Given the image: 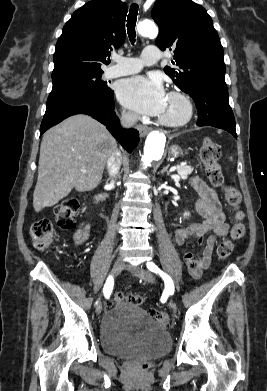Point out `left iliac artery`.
Returning a JSON list of instances; mask_svg holds the SVG:
<instances>
[{
  "label": "left iliac artery",
  "instance_id": "44dca946",
  "mask_svg": "<svg viewBox=\"0 0 267 391\" xmlns=\"http://www.w3.org/2000/svg\"><path fill=\"white\" fill-rule=\"evenodd\" d=\"M147 268L154 272V273H157L159 274L162 279L164 280V283H165V290L167 293L169 294H173L174 293V284H173V281L172 279L164 272H162L154 263L152 262H148L147 263Z\"/></svg>",
  "mask_w": 267,
  "mask_h": 391
}]
</instances>
